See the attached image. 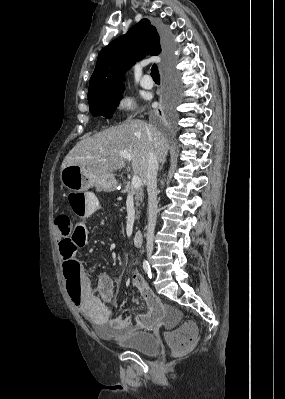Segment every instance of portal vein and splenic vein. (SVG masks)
<instances>
[{"label": "portal vein and splenic vein", "mask_w": 285, "mask_h": 399, "mask_svg": "<svg viewBox=\"0 0 285 399\" xmlns=\"http://www.w3.org/2000/svg\"><path fill=\"white\" fill-rule=\"evenodd\" d=\"M119 156L124 158V159H126V160H128V161L132 160V157H131L130 153H128L126 151L119 152ZM131 185H132L133 188H140L142 186L141 178L138 175H134L132 177Z\"/></svg>", "instance_id": "portal-vein-and-splenic-vein-1"}]
</instances>
